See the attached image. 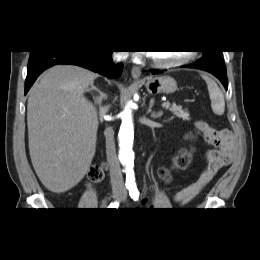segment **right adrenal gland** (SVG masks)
<instances>
[{
    "label": "right adrenal gland",
    "mask_w": 260,
    "mask_h": 260,
    "mask_svg": "<svg viewBox=\"0 0 260 260\" xmlns=\"http://www.w3.org/2000/svg\"><path fill=\"white\" fill-rule=\"evenodd\" d=\"M86 91L89 92H96L97 95H93V99L95 104H97L99 107H101L102 101L107 99V94L102 92L100 89H98L96 86H94V84H91V87L89 89H87Z\"/></svg>",
    "instance_id": "right-adrenal-gland-1"
}]
</instances>
